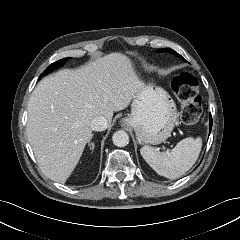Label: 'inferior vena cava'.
<instances>
[{"label":"inferior vena cava","mask_w":240,"mask_h":240,"mask_svg":"<svg viewBox=\"0 0 240 240\" xmlns=\"http://www.w3.org/2000/svg\"><path fill=\"white\" fill-rule=\"evenodd\" d=\"M107 119L103 116H97L90 122V128L93 131H103L107 128Z\"/></svg>","instance_id":"obj_1"}]
</instances>
